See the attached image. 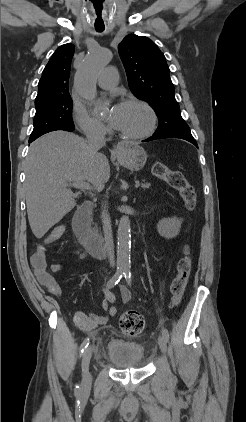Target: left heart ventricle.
<instances>
[{
	"label": "left heart ventricle",
	"instance_id": "b2bd125f",
	"mask_svg": "<svg viewBox=\"0 0 246 422\" xmlns=\"http://www.w3.org/2000/svg\"><path fill=\"white\" fill-rule=\"evenodd\" d=\"M148 122L149 116L141 106L135 104H122L119 130L138 133L147 127Z\"/></svg>",
	"mask_w": 246,
	"mask_h": 422
}]
</instances>
